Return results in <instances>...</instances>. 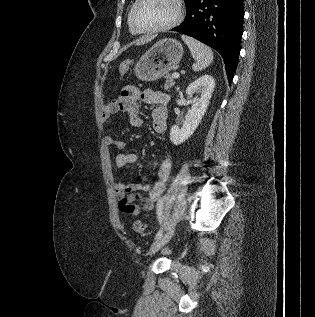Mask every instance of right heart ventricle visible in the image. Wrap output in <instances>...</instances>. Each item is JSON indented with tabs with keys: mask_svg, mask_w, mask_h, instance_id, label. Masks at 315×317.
Listing matches in <instances>:
<instances>
[{
	"mask_svg": "<svg viewBox=\"0 0 315 317\" xmlns=\"http://www.w3.org/2000/svg\"><path fill=\"white\" fill-rule=\"evenodd\" d=\"M128 22H129V29H130V31H131L133 34H137L138 32H136V31L133 29V27L131 26V24H130V19L128 20Z\"/></svg>",
	"mask_w": 315,
	"mask_h": 317,
	"instance_id": "e07e8e85",
	"label": "right heart ventricle"
}]
</instances>
